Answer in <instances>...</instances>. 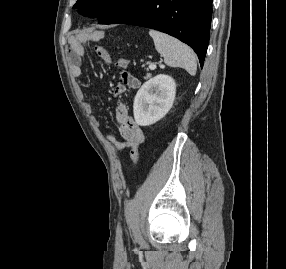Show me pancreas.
Instances as JSON below:
<instances>
[{
	"instance_id": "cf45deb5",
	"label": "pancreas",
	"mask_w": 286,
	"mask_h": 269,
	"mask_svg": "<svg viewBox=\"0 0 286 269\" xmlns=\"http://www.w3.org/2000/svg\"><path fill=\"white\" fill-rule=\"evenodd\" d=\"M151 77V74L150 73H147L146 76H145V79H148Z\"/></svg>"
}]
</instances>
